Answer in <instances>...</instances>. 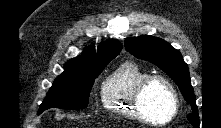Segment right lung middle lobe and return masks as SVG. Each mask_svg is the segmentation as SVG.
Returning a JSON list of instances; mask_svg holds the SVG:
<instances>
[{
	"label": "right lung middle lobe",
	"mask_w": 221,
	"mask_h": 128,
	"mask_svg": "<svg viewBox=\"0 0 221 128\" xmlns=\"http://www.w3.org/2000/svg\"><path fill=\"white\" fill-rule=\"evenodd\" d=\"M116 56L113 55L99 64H90L72 72L62 73L54 81L46 98L40 105L38 114L54 107L69 110L86 108L95 78Z\"/></svg>",
	"instance_id": "right-lung-middle-lobe-1"
}]
</instances>
